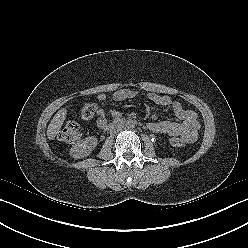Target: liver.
<instances>
[{
	"mask_svg": "<svg viewBox=\"0 0 248 248\" xmlns=\"http://www.w3.org/2000/svg\"><path fill=\"white\" fill-rule=\"evenodd\" d=\"M67 115V110L66 108L60 109L53 117L51 120L50 124L48 125L47 128V137L49 140H53L56 135L59 133L65 118Z\"/></svg>",
	"mask_w": 248,
	"mask_h": 248,
	"instance_id": "6515ba94",
	"label": "liver"
}]
</instances>
